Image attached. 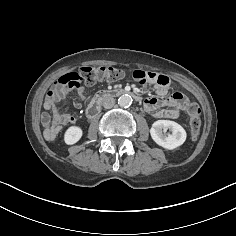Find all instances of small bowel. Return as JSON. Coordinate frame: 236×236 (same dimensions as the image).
Here are the masks:
<instances>
[{
    "mask_svg": "<svg viewBox=\"0 0 236 236\" xmlns=\"http://www.w3.org/2000/svg\"><path fill=\"white\" fill-rule=\"evenodd\" d=\"M141 71V70H136ZM144 72V71H142ZM148 76L145 84H149L160 97H165L170 89L169 77L152 72H144ZM85 100L84 88H78L74 93V106L81 109ZM146 111L154 117L163 119H178L182 112L187 111L189 100L180 92H174L170 97L159 100L154 97L146 98L144 101ZM44 113L42 124L44 136L48 141H54L67 125L74 124L75 118L71 114L64 113L59 108V99L49 95L44 102Z\"/></svg>",
    "mask_w": 236,
    "mask_h": 236,
    "instance_id": "obj_1",
    "label": "small bowel"
}]
</instances>
